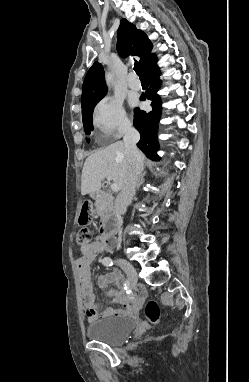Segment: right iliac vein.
Masks as SVG:
<instances>
[{
    "mask_svg": "<svg viewBox=\"0 0 249 382\" xmlns=\"http://www.w3.org/2000/svg\"><path fill=\"white\" fill-rule=\"evenodd\" d=\"M119 266L126 272L132 284L138 280L137 271L134 266L127 260L119 258L117 260Z\"/></svg>",
    "mask_w": 249,
    "mask_h": 382,
    "instance_id": "right-iliac-vein-1",
    "label": "right iliac vein"
}]
</instances>
